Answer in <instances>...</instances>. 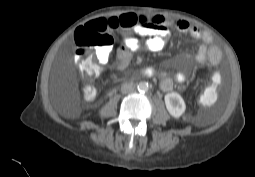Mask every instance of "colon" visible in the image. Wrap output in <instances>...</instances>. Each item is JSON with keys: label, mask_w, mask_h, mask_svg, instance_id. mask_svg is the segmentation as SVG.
<instances>
[{"label": "colon", "mask_w": 255, "mask_h": 177, "mask_svg": "<svg viewBox=\"0 0 255 177\" xmlns=\"http://www.w3.org/2000/svg\"><path fill=\"white\" fill-rule=\"evenodd\" d=\"M147 22L144 16L123 14L117 17L101 19L87 23L85 29L78 28L75 32L76 49L74 61L76 65L92 80L101 72V64L96 59L99 49L111 47L113 44L112 32L118 29H134ZM95 91L88 86L85 97L92 100Z\"/></svg>", "instance_id": "1"}]
</instances>
